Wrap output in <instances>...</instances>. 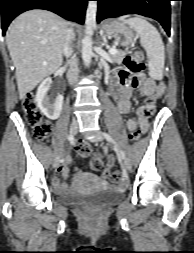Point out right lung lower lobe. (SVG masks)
Returning a JSON list of instances; mask_svg holds the SVG:
<instances>
[{
    "label": "right lung lower lobe",
    "mask_w": 194,
    "mask_h": 253,
    "mask_svg": "<svg viewBox=\"0 0 194 253\" xmlns=\"http://www.w3.org/2000/svg\"><path fill=\"white\" fill-rule=\"evenodd\" d=\"M2 10V30L5 34L10 22L20 13L31 9H45L61 17L84 23L88 0H0Z\"/></svg>",
    "instance_id": "1"
}]
</instances>
